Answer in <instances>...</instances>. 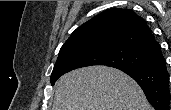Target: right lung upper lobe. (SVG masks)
<instances>
[{"instance_id":"obj_1","label":"right lung upper lobe","mask_w":171,"mask_h":110,"mask_svg":"<svg viewBox=\"0 0 171 110\" xmlns=\"http://www.w3.org/2000/svg\"><path fill=\"white\" fill-rule=\"evenodd\" d=\"M90 43L125 46L155 58L161 51L145 20L130 9L112 8L103 11L78 27L60 51Z\"/></svg>"}]
</instances>
